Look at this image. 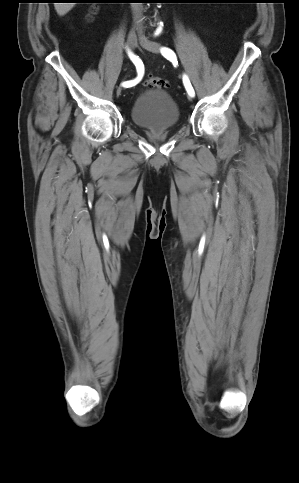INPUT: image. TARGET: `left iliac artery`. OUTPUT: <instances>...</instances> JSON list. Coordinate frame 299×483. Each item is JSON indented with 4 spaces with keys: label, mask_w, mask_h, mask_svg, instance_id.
<instances>
[{
    "label": "left iliac artery",
    "mask_w": 299,
    "mask_h": 483,
    "mask_svg": "<svg viewBox=\"0 0 299 483\" xmlns=\"http://www.w3.org/2000/svg\"><path fill=\"white\" fill-rule=\"evenodd\" d=\"M161 53L168 60H176L175 53L169 48H166V47L161 48ZM183 83H184V86H185L188 94L191 97H194V95H195L194 89H193V87H192V85L189 81V78L186 75L183 76Z\"/></svg>",
    "instance_id": "1"
}]
</instances>
